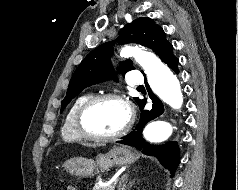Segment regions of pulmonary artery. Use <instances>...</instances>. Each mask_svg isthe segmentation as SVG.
Segmentation results:
<instances>
[{
	"instance_id": "obj_1",
	"label": "pulmonary artery",
	"mask_w": 238,
	"mask_h": 190,
	"mask_svg": "<svg viewBox=\"0 0 238 190\" xmlns=\"http://www.w3.org/2000/svg\"><path fill=\"white\" fill-rule=\"evenodd\" d=\"M127 82L132 87H139L143 84V77L138 71H131L128 73Z\"/></svg>"
}]
</instances>
